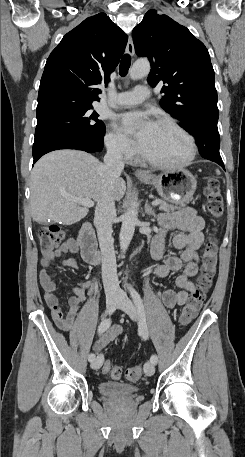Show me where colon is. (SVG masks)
Instances as JSON below:
<instances>
[{
	"mask_svg": "<svg viewBox=\"0 0 245 457\" xmlns=\"http://www.w3.org/2000/svg\"><path fill=\"white\" fill-rule=\"evenodd\" d=\"M205 196L206 209L209 216L213 221L219 220L223 215L224 204L218 179H208ZM38 235L43 253H52L64 238L63 230L57 225L40 228ZM217 250V240L214 236H210L202 249V273L198 287L192 292L179 316V324L181 326H187L194 320L206 297V293L212 284V279L216 272ZM102 372L113 379H118L121 376V369L110 360L104 362ZM125 377L131 382L139 381L142 377V367L136 365L127 368Z\"/></svg>",
	"mask_w": 245,
	"mask_h": 457,
	"instance_id": "obj_1",
	"label": "colon"
}]
</instances>
